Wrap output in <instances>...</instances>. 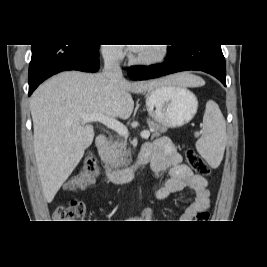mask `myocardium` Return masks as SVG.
I'll return each instance as SVG.
<instances>
[{
    "label": "myocardium",
    "mask_w": 267,
    "mask_h": 267,
    "mask_svg": "<svg viewBox=\"0 0 267 267\" xmlns=\"http://www.w3.org/2000/svg\"><path fill=\"white\" fill-rule=\"evenodd\" d=\"M157 48H158L157 53L152 56L141 57L136 54V55L130 56V61L135 64L144 65V66H150V65L160 63L166 58L168 54V47L165 46V44H159Z\"/></svg>",
    "instance_id": "1"
}]
</instances>
